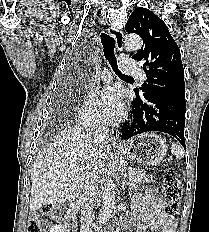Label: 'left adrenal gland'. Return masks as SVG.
<instances>
[{
    "label": "left adrenal gland",
    "instance_id": "left-adrenal-gland-1",
    "mask_svg": "<svg viewBox=\"0 0 209 232\" xmlns=\"http://www.w3.org/2000/svg\"><path fill=\"white\" fill-rule=\"evenodd\" d=\"M127 184H128V182H127V176L124 175V178L122 180V185H121V188H122L123 191L125 190ZM129 193H130V191H129Z\"/></svg>",
    "mask_w": 209,
    "mask_h": 232
}]
</instances>
